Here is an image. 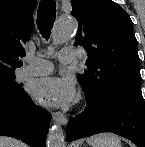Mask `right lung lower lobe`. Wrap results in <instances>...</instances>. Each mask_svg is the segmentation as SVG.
I'll list each match as a JSON object with an SVG mask.
<instances>
[{
	"label": "right lung lower lobe",
	"instance_id": "1",
	"mask_svg": "<svg viewBox=\"0 0 145 147\" xmlns=\"http://www.w3.org/2000/svg\"><path fill=\"white\" fill-rule=\"evenodd\" d=\"M50 114L26 95L18 102L0 103V136H9L31 147H44Z\"/></svg>",
	"mask_w": 145,
	"mask_h": 147
}]
</instances>
